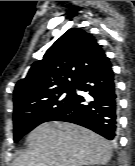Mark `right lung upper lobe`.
I'll return each instance as SVG.
<instances>
[{
	"instance_id": "1",
	"label": "right lung upper lobe",
	"mask_w": 135,
	"mask_h": 166,
	"mask_svg": "<svg viewBox=\"0 0 135 166\" xmlns=\"http://www.w3.org/2000/svg\"><path fill=\"white\" fill-rule=\"evenodd\" d=\"M108 58L92 34L81 28L66 31L17 82L14 109L75 87L87 73Z\"/></svg>"
}]
</instances>
